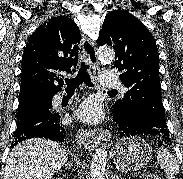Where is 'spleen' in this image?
I'll return each mask as SVG.
<instances>
[{
	"instance_id": "spleen-1",
	"label": "spleen",
	"mask_w": 183,
	"mask_h": 179,
	"mask_svg": "<svg viewBox=\"0 0 183 179\" xmlns=\"http://www.w3.org/2000/svg\"><path fill=\"white\" fill-rule=\"evenodd\" d=\"M157 164L164 169L167 179H175V175L179 173V162L163 147L157 149Z\"/></svg>"
}]
</instances>
